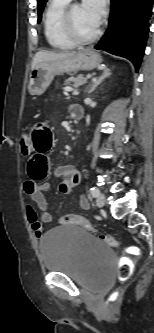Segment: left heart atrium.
<instances>
[{"label": "left heart atrium", "instance_id": "1", "mask_svg": "<svg viewBox=\"0 0 154 333\" xmlns=\"http://www.w3.org/2000/svg\"><path fill=\"white\" fill-rule=\"evenodd\" d=\"M81 7L87 18L98 27L105 13V0H83Z\"/></svg>", "mask_w": 154, "mask_h": 333}]
</instances>
